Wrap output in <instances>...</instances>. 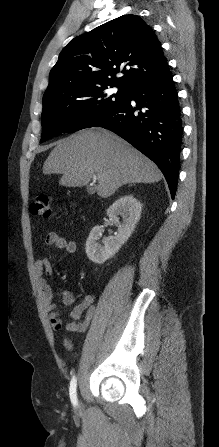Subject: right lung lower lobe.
Returning <instances> with one entry per match:
<instances>
[{"mask_svg": "<svg viewBox=\"0 0 219 447\" xmlns=\"http://www.w3.org/2000/svg\"><path fill=\"white\" fill-rule=\"evenodd\" d=\"M90 127H103L115 132L155 162L174 198L183 127L178 93L169 68L161 76L132 89L124 103L111 109Z\"/></svg>", "mask_w": 219, "mask_h": 447, "instance_id": "right-lung-lower-lobe-1", "label": "right lung lower lobe"}]
</instances>
